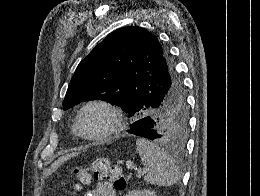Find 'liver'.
<instances>
[{"instance_id": "1", "label": "liver", "mask_w": 260, "mask_h": 196, "mask_svg": "<svg viewBox=\"0 0 260 196\" xmlns=\"http://www.w3.org/2000/svg\"><path fill=\"white\" fill-rule=\"evenodd\" d=\"M81 150H83V152H86V148H79L78 152H71V154H66V156H62V158L56 160V162L52 164L51 168H49L48 174H53V172H56L57 168H59V166H62L64 162H67V160H71V158H74V156H77V154H81Z\"/></svg>"}]
</instances>
